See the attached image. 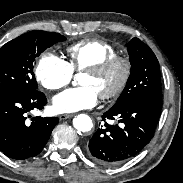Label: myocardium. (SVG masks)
I'll list each match as a JSON object with an SVG mask.
<instances>
[{"label":"myocardium","mask_w":183,"mask_h":183,"mask_svg":"<svg viewBox=\"0 0 183 183\" xmlns=\"http://www.w3.org/2000/svg\"><path fill=\"white\" fill-rule=\"evenodd\" d=\"M118 65L122 67L121 78L115 87L105 93L100 94V98L102 100L114 99L124 91L132 74L131 61L124 56L115 55L84 70L87 74L99 76L110 71L112 68Z\"/></svg>","instance_id":"1"}]
</instances>
